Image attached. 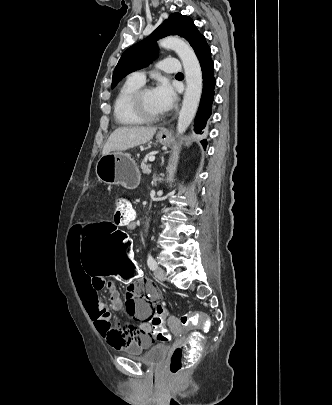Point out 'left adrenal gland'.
Instances as JSON below:
<instances>
[{
  "instance_id": "left-adrenal-gland-1",
  "label": "left adrenal gland",
  "mask_w": 332,
  "mask_h": 405,
  "mask_svg": "<svg viewBox=\"0 0 332 405\" xmlns=\"http://www.w3.org/2000/svg\"><path fill=\"white\" fill-rule=\"evenodd\" d=\"M157 180H158V179H157L156 176L154 175V178H153V184H154V185H156Z\"/></svg>"
}]
</instances>
